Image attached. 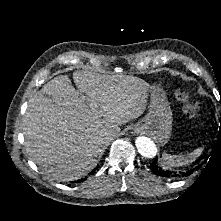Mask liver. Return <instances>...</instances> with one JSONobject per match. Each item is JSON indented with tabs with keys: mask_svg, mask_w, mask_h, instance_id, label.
Returning a JSON list of instances; mask_svg holds the SVG:
<instances>
[{
	"mask_svg": "<svg viewBox=\"0 0 221 221\" xmlns=\"http://www.w3.org/2000/svg\"><path fill=\"white\" fill-rule=\"evenodd\" d=\"M59 76L36 92L23 118L26 151L43 171L71 181L90 171L110 132L136 119L146 109L149 85L126 75L75 71ZM94 108L95 111L91 109Z\"/></svg>",
	"mask_w": 221,
	"mask_h": 221,
	"instance_id": "6515ba94",
	"label": "liver"
}]
</instances>
